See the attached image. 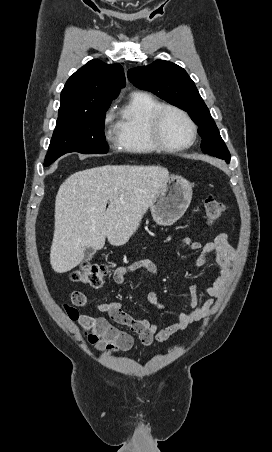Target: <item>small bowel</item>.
<instances>
[{"mask_svg":"<svg viewBox=\"0 0 272 452\" xmlns=\"http://www.w3.org/2000/svg\"><path fill=\"white\" fill-rule=\"evenodd\" d=\"M183 243L189 250L201 253L193 261L195 266H203L208 258H212L217 268V275L210 286L204 288L191 286L192 299L189 308L179 313L173 323L165 328H159L157 324L151 323L147 319H134L124 310L120 302L95 303L93 307L108 315L115 323L128 327L146 346L154 341L165 342L193 323L205 319L210 314L216 300L222 296L230 280L237 251L226 233L218 234L213 241L205 244L189 237L183 238ZM141 271L155 275L158 273V267L150 259L135 260L118 266L114 271L113 278L116 283L122 284L129 275ZM200 293L207 297L204 302L200 301ZM71 298L76 306L83 307L89 304L88 297L81 291H74ZM148 300L159 308L161 307L156 293H149ZM64 308L68 316L85 331L88 342L98 349L127 351L132 347L131 335L126 331L114 328L104 317L80 314L75 307L70 305H65Z\"/></svg>","mask_w":272,"mask_h":452,"instance_id":"1","label":"small bowel"}]
</instances>
